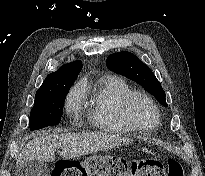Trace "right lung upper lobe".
Listing matches in <instances>:
<instances>
[{"label":"right lung upper lobe","instance_id":"right-lung-upper-lobe-1","mask_svg":"<svg viewBox=\"0 0 205 176\" xmlns=\"http://www.w3.org/2000/svg\"><path fill=\"white\" fill-rule=\"evenodd\" d=\"M82 69L81 61L61 66L56 72L50 73L41 87L37 90L36 96L56 92L64 87H71Z\"/></svg>","mask_w":205,"mask_h":176}]
</instances>
